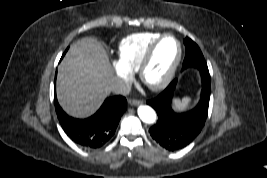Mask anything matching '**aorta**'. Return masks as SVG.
<instances>
[{"label":"aorta","instance_id":"obj_1","mask_svg":"<svg viewBox=\"0 0 267 178\" xmlns=\"http://www.w3.org/2000/svg\"><path fill=\"white\" fill-rule=\"evenodd\" d=\"M138 116L140 119L147 124H152L156 121V112L150 106L141 105L138 107Z\"/></svg>","mask_w":267,"mask_h":178}]
</instances>
